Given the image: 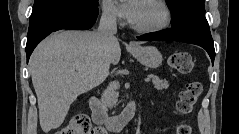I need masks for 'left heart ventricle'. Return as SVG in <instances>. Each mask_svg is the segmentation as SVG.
<instances>
[{
	"instance_id": "1",
	"label": "left heart ventricle",
	"mask_w": 239,
	"mask_h": 134,
	"mask_svg": "<svg viewBox=\"0 0 239 134\" xmlns=\"http://www.w3.org/2000/svg\"><path fill=\"white\" fill-rule=\"evenodd\" d=\"M160 19L161 13L155 6L147 1H140L139 12L133 24L135 26H151L157 24Z\"/></svg>"
}]
</instances>
